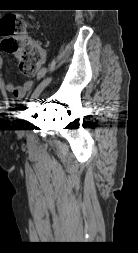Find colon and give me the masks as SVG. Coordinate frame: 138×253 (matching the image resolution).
Here are the masks:
<instances>
[{"label": "colon", "instance_id": "obj_1", "mask_svg": "<svg viewBox=\"0 0 138 253\" xmlns=\"http://www.w3.org/2000/svg\"><path fill=\"white\" fill-rule=\"evenodd\" d=\"M0 35L2 49L17 56L21 72L35 75L45 61V49L27 36L24 21L16 15L4 16L0 20Z\"/></svg>", "mask_w": 138, "mask_h": 253}]
</instances>
